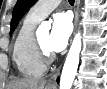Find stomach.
<instances>
[{"label": "stomach", "instance_id": "stomach-1", "mask_svg": "<svg viewBox=\"0 0 107 89\" xmlns=\"http://www.w3.org/2000/svg\"><path fill=\"white\" fill-rule=\"evenodd\" d=\"M43 89H54V87H53V86H50V85H47V86H44Z\"/></svg>", "mask_w": 107, "mask_h": 89}]
</instances>
